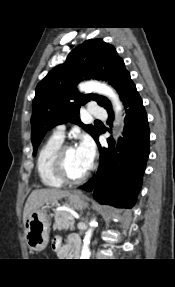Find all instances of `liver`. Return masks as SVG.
I'll use <instances>...</instances> for the list:
<instances>
[{"label":"liver","mask_w":175,"mask_h":287,"mask_svg":"<svg viewBox=\"0 0 175 287\" xmlns=\"http://www.w3.org/2000/svg\"><path fill=\"white\" fill-rule=\"evenodd\" d=\"M68 194H69L68 191L54 188L33 190L29 195L24 207L23 221L25 222L30 213L38 210L44 204L60 200L61 198L67 196Z\"/></svg>","instance_id":"obj_1"}]
</instances>
